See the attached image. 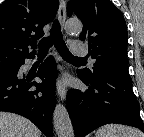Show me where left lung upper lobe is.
I'll return each mask as SVG.
<instances>
[{"label": "left lung upper lobe", "instance_id": "5c2ea615", "mask_svg": "<svg viewBox=\"0 0 144 137\" xmlns=\"http://www.w3.org/2000/svg\"><path fill=\"white\" fill-rule=\"evenodd\" d=\"M68 16L75 13L83 23L80 40H87L91 57L96 60L92 70H78L91 79L109 73L131 80L127 60V27L122 12L110 0H70Z\"/></svg>", "mask_w": 144, "mask_h": 137}]
</instances>
